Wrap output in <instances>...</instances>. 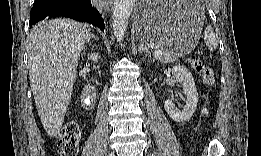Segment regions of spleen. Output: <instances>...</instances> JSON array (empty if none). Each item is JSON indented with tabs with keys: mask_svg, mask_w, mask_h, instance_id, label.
<instances>
[{
	"mask_svg": "<svg viewBox=\"0 0 261 156\" xmlns=\"http://www.w3.org/2000/svg\"><path fill=\"white\" fill-rule=\"evenodd\" d=\"M204 41L210 51H214L217 48V37L210 26L205 28Z\"/></svg>",
	"mask_w": 261,
	"mask_h": 156,
	"instance_id": "spleen-1",
	"label": "spleen"
}]
</instances>
